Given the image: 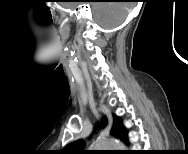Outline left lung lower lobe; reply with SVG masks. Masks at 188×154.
I'll return each mask as SVG.
<instances>
[{
	"label": "left lung lower lobe",
	"instance_id": "1",
	"mask_svg": "<svg viewBox=\"0 0 188 154\" xmlns=\"http://www.w3.org/2000/svg\"><path fill=\"white\" fill-rule=\"evenodd\" d=\"M123 142H124L125 144H128L127 133H126V135H125V137H124V139H123Z\"/></svg>",
	"mask_w": 188,
	"mask_h": 154
}]
</instances>
